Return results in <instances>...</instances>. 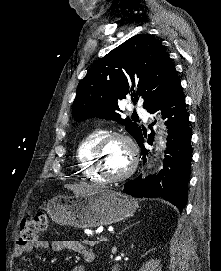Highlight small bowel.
Returning a JSON list of instances; mask_svg holds the SVG:
<instances>
[{
	"label": "small bowel",
	"instance_id": "small-bowel-1",
	"mask_svg": "<svg viewBox=\"0 0 221 271\" xmlns=\"http://www.w3.org/2000/svg\"><path fill=\"white\" fill-rule=\"evenodd\" d=\"M34 249L49 250L53 253H59L62 251H73L75 253L86 256H92L93 254L80 242L71 239H54L51 242L35 238L34 241L25 245L17 246L14 251V257H19L24 253H30ZM72 271H84L83 266H75Z\"/></svg>",
	"mask_w": 221,
	"mask_h": 271
}]
</instances>
